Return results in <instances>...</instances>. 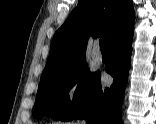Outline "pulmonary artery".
Returning a JSON list of instances; mask_svg holds the SVG:
<instances>
[{
  "instance_id": "pulmonary-artery-1",
  "label": "pulmonary artery",
  "mask_w": 156,
  "mask_h": 124,
  "mask_svg": "<svg viewBox=\"0 0 156 124\" xmlns=\"http://www.w3.org/2000/svg\"><path fill=\"white\" fill-rule=\"evenodd\" d=\"M92 58L97 61V62H100L102 60V54L101 52L99 51V49L97 48H94L93 51H92Z\"/></svg>"
}]
</instances>
